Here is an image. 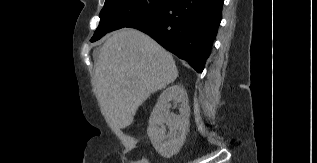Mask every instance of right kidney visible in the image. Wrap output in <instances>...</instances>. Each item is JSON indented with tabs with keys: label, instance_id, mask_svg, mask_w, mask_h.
<instances>
[{
	"label": "right kidney",
	"instance_id": "right-kidney-1",
	"mask_svg": "<svg viewBox=\"0 0 317 163\" xmlns=\"http://www.w3.org/2000/svg\"><path fill=\"white\" fill-rule=\"evenodd\" d=\"M179 103V114L170 113V102ZM190 107L186 91L180 85H172L162 92L154 107L147 128V135L155 150L165 158L177 154L183 146L189 130ZM170 132L166 134V126Z\"/></svg>",
	"mask_w": 317,
	"mask_h": 163
}]
</instances>
